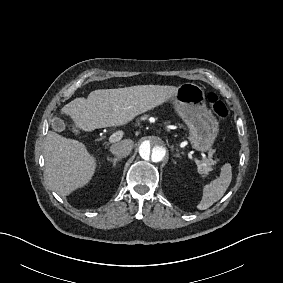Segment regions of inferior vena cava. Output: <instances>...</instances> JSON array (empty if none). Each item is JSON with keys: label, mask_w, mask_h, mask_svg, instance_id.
Returning a JSON list of instances; mask_svg holds the SVG:
<instances>
[{"label": "inferior vena cava", "mask_w": 283, "mask_h": 283, "mask_svg": "<svg viewBox=\"0 0 283 283\" xmlns=\"http://www.w3.org/2000/svg\"><path fill=\"white\" fill-rule=\"evenodd\" d=\"M134 143L131 140H123L120 143H117L111 147V152L116 155L118 158L130 155Z\"/></svg>", "instance_id": "obj_1"}]
</instances>
